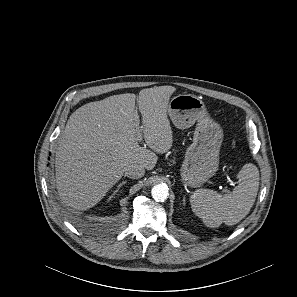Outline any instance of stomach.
Returning a JSON list of instances; mask_svg holds the SVG:
<instances>
[{"label":"stomach","mask_w":297,"mask_h":297,"mask_svg":"<svg viewBox=\"0 0 297 297\" xmlns=\"http://www.w3.org/2000/svg\"><path fill=\"white\" fill-rule=\"evenodd\" d=\"M168 114L179 129L189 128L197 122L193 142L186 150L180 173L184 185L200 187L218 169L222 129L210 118L204 102L191 94L173 97L168 104Z\"/></svg>","instance_id":"1"}]
</instances>
